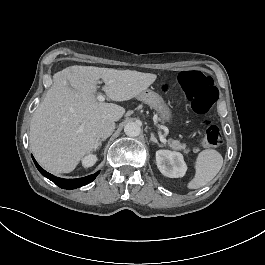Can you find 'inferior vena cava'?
I'll return each instance as SVG.
<instances>
[{
	"instance_id": "1",
	"label": "inferior vena cava",
	"mask_w": 265,
	"mask_h": 265,
	"mask_svg": "<svg viewBox=\"0 0 265 265\" xmlns=\"http://www.w3.org/2000/svg\"><path fill=\"white\" fill-rule=\"evenodd\" d=\"M115 129V123L110 120H103L96 128L98 138L109 137Z\"/></svg>"
}]
</instances>
